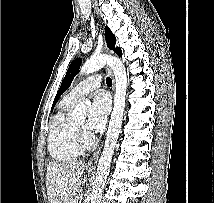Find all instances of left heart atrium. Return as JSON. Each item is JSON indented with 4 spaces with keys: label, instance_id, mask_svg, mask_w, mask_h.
I'll return each instance as SVG.
<instances>
[{
    "label": "left heart atrium",
    "instance_id": "39dd6f15",
    "mask_svg": "<svg viewBox=\"0 0 214 203\" xmlns=\"http://www.w3.org/2000/svg\"><path fill=\"white\" fill-rule=\"evenodd\" d=\"M110 111V103L106 94L99 91L95 94L87 121V128L91 132L102 130L106 124Z\"/></svg>",
    "mask_w": 214,
    "mask_h": 203
}]
</instances>
